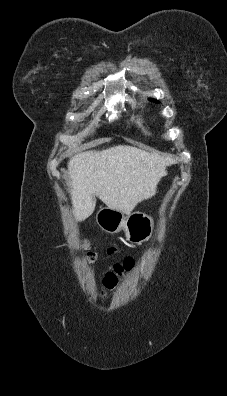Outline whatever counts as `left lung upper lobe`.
I'll return each instance as SVG.
<instances>
[{
	"instance_id": "obj_1",
	"label": "left lung upper lobe",
	"mask_w": 227,
	"mask_h": 396,
	"mask_svg": "<svg viewBox=\"0 0 227 396\" xmlns=\"http://www.w3.org/2000/svg\"><path fill=\"white\" fill-rule=\"evenodd\" d=\"M154 102H156V103H158V101L157 100H153Z\"/></svg>"
}]
</instances>
